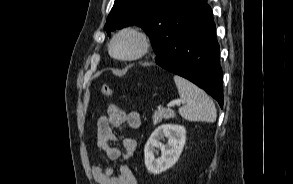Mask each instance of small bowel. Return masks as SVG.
Wrapping results in <instances>:
<instances>
[{"label": "small bowel", "mask_w": 293, "mask_h": 184, "mask_svg": "<svg viewBox=\"0 0 293 184\" xmlns=\"http://www.w3.org/2000/svg\"><path fill=\"white\" fill-rule=\"evenodd\" d=\"M128 126L131 129H137L141 125V116L137 111L125 112L118 106L111 104L107 113L97 120L96 144L110 161L130 158L137 149V141L133 137L122 139V153L119 148L113 145L118 141L114 132L115 128ZM93 179L98 184H137V180L131 169L127 165H121L117 171L104 165H96L92 169Z\"/></svg>", "instance_id": "obj_1"}]
</instances>
